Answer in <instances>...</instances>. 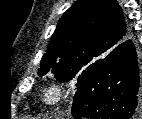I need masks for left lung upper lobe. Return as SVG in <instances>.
I'll return each mask as SVG.
<instances>
[{
	"label": "left lung upper lobe",
	"mask_w": 142,
	"mask_h": 119,
	"mask_svg": "<svg viewBox=\"0 0 142 119\" xmlns=\"http://www.w3.org/2000/svg\"><path fill=\"white\" fill-rule=\"evenodd\" d=\"M129 35L130 29L115 0H77L60 18L38 75L52 73L60 82L76 79L79 87Z\"/></svg>",
	"instance_id": "left-lung-upper-lobe-1"
}]
</instances>
